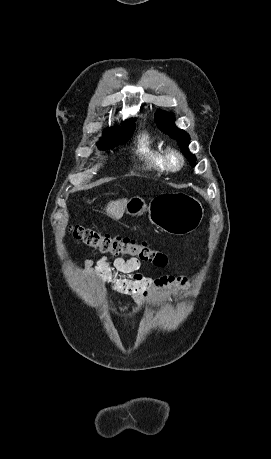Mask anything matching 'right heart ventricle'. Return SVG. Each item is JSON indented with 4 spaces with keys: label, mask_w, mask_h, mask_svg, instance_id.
<instances>
[{
    "label": "right heart ventricle",
    "mask_w": 271,
    "mask_h": 459,
    "mask_svg": "<svg viewBox=\"0 0 271 459\" xmlns=\"http://www.w3.org/2000/svg\"><path fill=\"white\" fill-rule=\"evenodd\" d=\"M163 153V145L156 142L150 132L145 131L139 135L136 144V155L143 170L158 175L168 172Z\"/></svg>",
    "instance_id": "right-heart-ventricle-1"
}]
</instances>
